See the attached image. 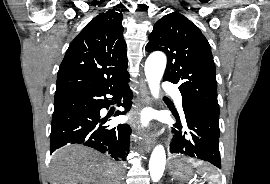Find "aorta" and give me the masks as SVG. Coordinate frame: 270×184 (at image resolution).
<instances>
[{"mask_svg": "<svg viewBox=\"0 0 270 184\" xmlns=\"http://www.w3.org/2000/svg\"><path fill=\"white\" fill-rule=\"evenodd\" d=\"M166 62V56L162 52L152 53L145 62V76L151 94L155 98L159 97L160 81L165 71ZM165 163V149L162 145H158L154 148L149 161V172L152 181L157 182L161 179L165 170Z\"/></svg>", "mask_w": 270, "mask_h": 184, "instance_id": "aorta-1", "label": "aorta"}]
</instances>
